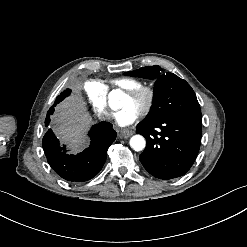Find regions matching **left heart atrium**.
<instances>
[{
	"mask_svg": "<svg viewBox=\"0 0 247 247\" xmlns=\"http://www.w3.org/2000/svg\"><path fill=\"white\" fill-rule=\"evenodd\" d=\"M141 108L137 105H129L115 115V121L119 126L134 124L141 116Z\"/></svg>",
	"mask_w": 247,
	"mask_h": 247,
	"instance_id": "1",
	"label": "left heart atrium"
}]
</instances>
